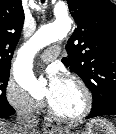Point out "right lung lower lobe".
<instances>
[{
  "instance_id": "obj_1",
  "label": "right lung lower lobe",
  "mask_w": 116,
  "mask_h": 134,
  "mask_svg": "<svg viewBox=\"0 0 116 134\" xmlns=\"http://www.w3.org/2000/svg\"><path fill=\"white\" fill-rule=\"evenodd\" d=\"M15 113V110L9 111L8 113H5L4 115H0V118H7L9 116H12Z\"/></svg>"
}]
</instances>
